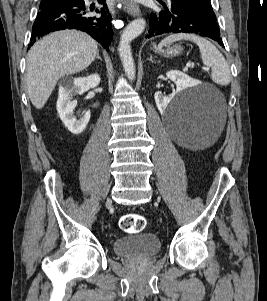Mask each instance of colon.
<instances>
[{
    "mask_svg": "<svg viewBox=\"0 0 267 301\" xmlns=\"http://www.w3.org/2000/svg\"><path fill=\"white\" fill-rule=\"evenodd\" d=\"M120 228L127 233H139L146 226V219L136 213H128L121 217Z\"/></svg>",
    "mask_w": 267,
    "mask_h": 301,
    "instance_id": "5ec220e1",
    "label": "colon"
}]
</instances>
